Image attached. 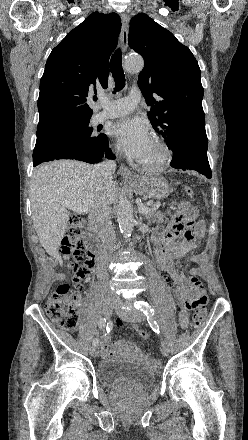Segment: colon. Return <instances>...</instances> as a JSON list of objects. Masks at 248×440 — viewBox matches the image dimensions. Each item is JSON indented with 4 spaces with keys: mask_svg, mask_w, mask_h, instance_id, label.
<instances>
[{
    "mask_svg": "<svg viewBox=\"0 0 248 440\" xmlns=\"http://www.w3.org/2000/svg\"><path fill=\"white\" fill-rule=\"evenodd\" d=\"M185 192L190 199L194 197V190L191 187H187ZM186 204L189 209V219L191 223L197 229H202V224L195 221L196 208L192 203ZM61 250L69 267L74 271L75 285L80 290H83L85 288L84 280L94 268L95 263L92 255L85 248L82 238V228L75 215H71L69 218V225L62 241ZM191 282L197 290V295L193 302L195 312L190 321V327L197 328L204 321L207 298L200 280L192 278ZM79 300L78 293L72 292L68 285H60L51 294L46 303V314L56 326L66 330L74 329L79 320ZM139 336L143 340H147L149 333L146 330H140Z\"/></svg>",
    "mask_w": 248,
    "mask_h": 440,
    "instance_id": "1",
    "label": "colon"
}]
</instances>
